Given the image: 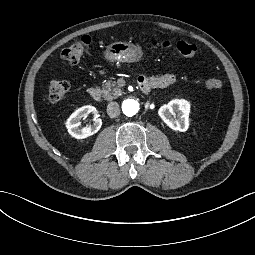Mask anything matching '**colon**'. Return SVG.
Wrapping results in <instances>:
<instances>
[{
    "instance_id": "obj_1",
    "label": "colon",
    "mask_w": 255,
    "mask_h": 255,
    "mask_svg": "<svg viewBox=\"0 0 255 255\" xmlns=\"http://www.w3.org/2000/svg\"><path fill=\"white\" fill-rule=\"evenodd\" d=\"M92 43V38L89 36H83L80 40L67 46L61 52V58L69 65H75L79 63L83 57L85 51ZM153 47H159L162 49H174L177 53L185 57H193L196 54L197 48L195 45L180 41L176 44L169 42L152 43ZM208 89H219L222 87V82L219 79H210L206 82ZM70 89V85L65 80H51L48 83V97L52 102H59L63 100Z\"/></svg>"
}]
</instances>
